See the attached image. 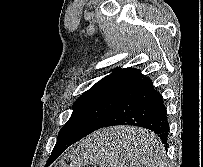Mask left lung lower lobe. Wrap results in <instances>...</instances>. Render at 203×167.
I'll list each match as a JSON object with an SVG mask.
<instances>
[{"label": "left lung lower lobe", "mask_w": 203, "mask_h": 167, "mask_svg": "<svg viewBox=\"0 0 203 167\" xmlns=\"http://www.w3.org/2000/svg\"><path fill=\"white\" fill-rule=\"evenodd\" d=\"M115 125H131L149 129L157 134L167 149L169 122L164 101L154 89L151 80L143 76L141 72L96 130ZM85 136L83 134L72 135L57 140L50 160H55L69 146Z\"/></svg>", "instance_id": "obj_1"}]
</instances>
